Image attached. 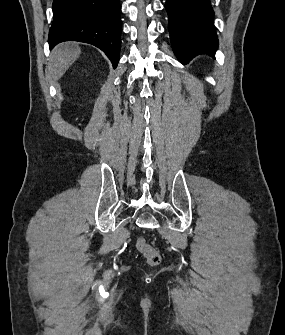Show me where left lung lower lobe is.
Wrapping results in <instances>:
<instances>
[{"label": "left lung lower lobe", "instance_id": "1", "mask_svg": "<svg viewBox=\"0 0 285 335\" xmlns=\"http://www.w3.org/2000/svg\"><path fill=\"white\" fill-rule=\"evenodd\" d=\"M169 32L175 55L187 64L199 54L214 57L218 38L210 0H166Z\"/></svg>", "mask_w": 285, "mask_h": 335}]
</instances>
